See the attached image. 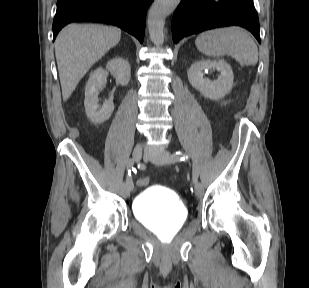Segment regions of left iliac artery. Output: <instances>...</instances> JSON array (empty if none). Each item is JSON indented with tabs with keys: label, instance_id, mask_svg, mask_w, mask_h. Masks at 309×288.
<instances>
[{
	"label": "left iliac artery",
	"instance_id": "44dca946",
	"mask_svg": "<svg viewBox=\"0 0 309 288\" xmlns=\"http://www.w3.org/2000/svg\"><path fill=\"white\" fill-rule=\"evenodd\" d=\"M186 160H188V155H186L185 153H183L180 150L174 152L171 156L172 162L186 161ZM192 174H193V183H195L198 179V176H199V170H198V166L194 163H193V166H192ZM191 190H192V188H191Z\"/></svg>",
	"mask_w": 309,
	"mask_h": 288
}]
</instances>
